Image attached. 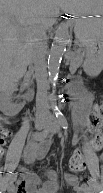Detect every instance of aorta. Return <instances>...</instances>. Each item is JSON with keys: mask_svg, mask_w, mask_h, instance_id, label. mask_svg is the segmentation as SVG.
I'll use <instances>...</instances> for the list:
<instances>
[{"mask_svg": "<svg viewBox=\"0 0 103 193\" xmlns=\"http://www.w3.org/2000/svg\"><path fill=\"white\" fill-rule=\"evenodd\" d=\"M69 37L68 26L61 23L56 29L48 58L49 77L52 82L58 77L61 60L66 51Z\"/></svg>", "mask_w": 103, "mask_h": 193, "instance_id": "762f6f07", "label": "aorta"}]
</instances>
